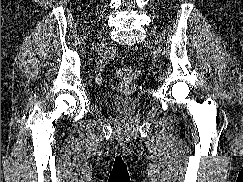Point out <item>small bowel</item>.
Returning <instances> with one entry per match:
<instances>
[{
  "instance_id": "1",
  "label": "small bowel",
  "mask_w": 243,
  "mask_h": 182,
  "mask_svg": "<svg viewBox=\"0 0 243 182\" xmlns=\"http://www.w3.org/2000/svg\"><path fill=\"white\" fill-rule=\"evenodd\" d=\"M114 55L113 50H109L105 53V55L101 58V60L98 62V64L95 67V76L98 81L101 80V73L104 69V66L109 58H111Z\"/></svg>"
}]
</instances>
